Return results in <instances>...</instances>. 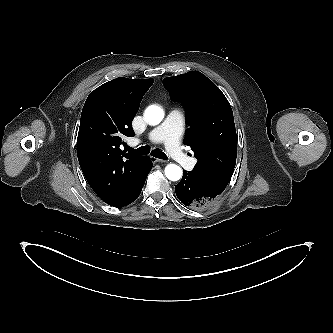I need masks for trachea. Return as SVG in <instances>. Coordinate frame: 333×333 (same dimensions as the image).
I'll return each mask as SVG.
<instances>
[{
    "label": "trachea",
    "instance_id": "obj_1",
    "mask_svg": "<svg viewBox=\"0 0 333 333\" xmlns=\"http://www.w3.org/2000/svg\"><path fill=\"white\" fill-rule=\"evenodd\" d=\"M126 150L135 154H139V155H147L149 153H151L152 156L159 158V159H167L166 154H164L162 151L160 150H150L149 146H142L139 147L137 149H133L129 146H126Z\"/></svg>",
    "mask_w": 333,
    "mask_h": 333
}]
</instances>
